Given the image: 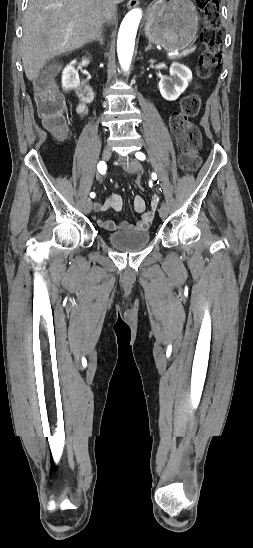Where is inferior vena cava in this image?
I'll use <instances>...</instances> for the list:
<instances>
[{
	"instance_id": "obj_1",
	"label": "inferior vena cava",
	"mask_w": 253,
	"mask_h": 548,
	"mask_svg": "<svg viewBox=\"0 0 253 548\" xmlns=\"http://www.w3.org/2000/svg\"><path fill=\"white\" fill-rule=\"evenodd\" d=\"M123 0H104V21H110L117 10V5Z\"/></svg>"
}]
</instances>
